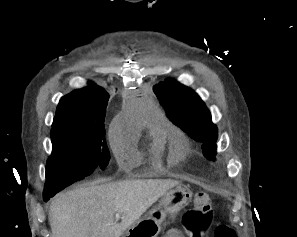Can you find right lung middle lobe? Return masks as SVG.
<instances>
[{"mask_svg":"<svg viewBox=\"0 0 297 237\" xmlns=\"http://www.w3.org/2000/svg\"><path fill=\"white\" fill-rule=\"evenodd\" d=\"M53 151L47 160L44 195H55L108 165L104 125L66 124L51 129Z\"/></svg>","mask_w":297,"mask_h":237,"instance_id":"obj_1","label":"right lung middle lobe"}]
</instances>
